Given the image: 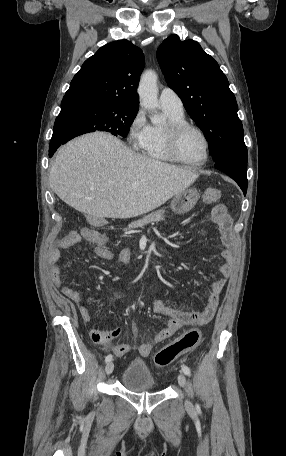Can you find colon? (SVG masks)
Returning a JSON list of instances; mask_svg holds the SVG:
<instances>
[{"instance_id":"obj_1","label":"colon","mask_w":286,"mask_h":456,"mask_svg":"<svg viewBox=\"0 0 286 456\" xmlns=\"http://www.w3.org/2000/svg\"><path fill=\"white\" fill-rule=\"evenodd\" d=\"M221 196V192L218 189H208L204 192L203 201L205 203H212ZM84 229L83 231H86ZM78 234V233H77ZM202 340V334L198 329H192L173 342L160 349L154 357V362L159 367H165L174 362L180 355L186 353L195 347H197ZM149 349L147 346H142L140 349L141 355H147Z\"/></svg>"}]
</instances>
